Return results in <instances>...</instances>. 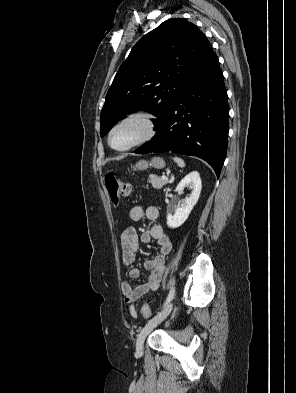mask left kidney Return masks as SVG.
Segmentation results:
<instances>
[{
	"label": "left kidney",
	"instance_id": "obj_1",
	"mask_svg": "<svg viewBox=\"0 0 296 393\" xmlns=\"http://www.w3.org/2000/svg\"><path fill=\"white\" fill-rule=\"evenodd\" d=\"M185 187L191 188L192 193L181 202L173 216L171 214H167V225L170 228H177L181 226L187 220L199 199L202 183L200 174L197 171L190 172L180 181L176 187V191L179 195L183 193Z\"/></svg>",
	"mask_w": 296,
	"mask_h": 393
}]
</instances>
